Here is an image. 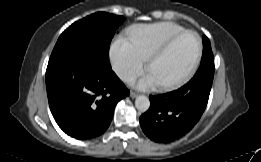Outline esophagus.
I'll return each mask as SVG.
<instances>
[{"instance_id":"34e87169","label":"esophagus","mask_w":261,"mask_h":162,"mask_svg":"<svg viewBox=\"0 0 261 162\" xmlns=\"http://www.w3.org/2000/svg\"><path fill=\"white\" fill-rule=\"evenodd\" d=\"M138 96V93H135L133 91L130 92V97L131 98H136Z\"/></svg>"}]
</instances>
